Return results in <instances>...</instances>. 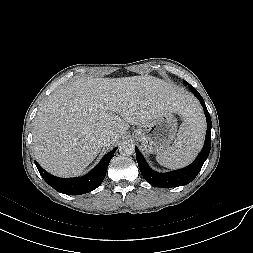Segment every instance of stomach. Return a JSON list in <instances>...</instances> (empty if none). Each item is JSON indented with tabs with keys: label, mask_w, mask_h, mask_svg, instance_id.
<instances>
[{
	"label": "stomach",
	"mask_w": 253,
	"mask_h": 253,
	"mask_svg": "<svg viewBox=\"0 0 253 253\" xmlns=\"http://www.w3.org/2000/svg\"><path fill=\"white\" fill-rule=\"evenodd\" d=\"M177 132V120L171 113H163L158 117L140 125L133 135L149 153H162L170 147Z\"/></svg>",
	"instance_id": "obj_1"
}]
</instances>
